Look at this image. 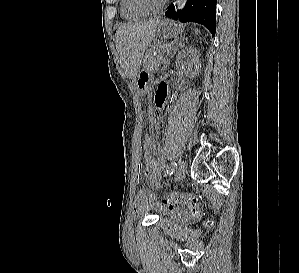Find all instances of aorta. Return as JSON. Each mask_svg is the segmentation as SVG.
I'll use <instances>...</instances> for the list:
<instances>
[{"instance_id":"762f6f07","label":"aorta","mask_w":299,"mask_h":273,"mask_svg":"<svg viewBox=\"0 0 299 273\" xmlns=\"http://www.w3.org/2000/svg\"><path fill=\"white\" fill-rule=\"evenodd\" d=\"M186 2L187 0H177L176 9H182L185 6Z\"/></svg>"}]
</instances>
